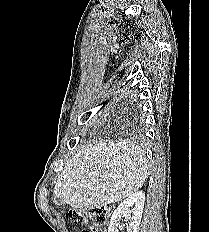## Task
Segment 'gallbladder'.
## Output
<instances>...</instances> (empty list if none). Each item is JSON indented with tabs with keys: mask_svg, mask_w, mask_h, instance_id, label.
Listing matches in <instances>:
<instances>
[{
	"mask_svg": "<svg viewBox=\"0 0 209 232\" xmlns=\"http://www.w3.org/2000/svg\"><path fill=\"white\" fill-rule=\"evenodd\" d=\"M54 202H55V204H56L57 206L62 205V202H61V200H60L59 198H55Z\"/></svg>",
	"mask_w": 209,
	"mask_h": 232,
	"instance_id": "obj_1",
	"label": "gallbladder"
}]
</instances>
